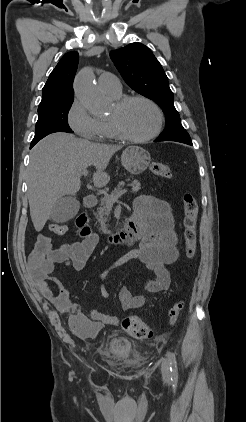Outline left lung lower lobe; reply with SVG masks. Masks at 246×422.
Instances as JSON below:
<instances>
[{"label": "left lung lower lobe", "mask_w": 246, "mask_h": 422, "mask_svg": "<svg viewBox=\"0 0 246 422\" xmlns=\"http://www.w3.org/2000/svg\"><path fill=\"white\" fill-rule=\"evenodd\" d=\"M155 142H159V141L155 140ZM182 143H185V144H188V145H192V142L191 141H186V142H182Z\"/></svg>", "instance_id": "0a47b994"}]
</instances>
